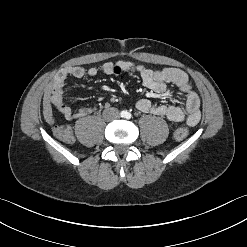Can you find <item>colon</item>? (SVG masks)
<instances>
[{"instance_id":"1","label":"colon","mask_w":247,"mask_h":247,"mask_svg":"<svg viewBox=\"0 0 247 247\" xmlns=\"http://www.w3.org/2000/svg\"><path fill=\"white\" fill-rule=\"evenodd\" d=\"M130 101L132 103H137L139 101V96L137 94H132L130 96ZM54 135L65 142H72L73 141V133L69 126L66 125H56L53 129ZM189 135V131L184 128L180 127L177 128L173 133V139L175 141H182L187 138Z\"/></svg>"}]
</instances>
